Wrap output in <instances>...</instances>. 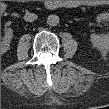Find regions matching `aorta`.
I'll return each instance as SVG.
<instances>
[{
  "instance_id": "1",
  "label": "aorta",
  "mask_w": 109,
  "mask_h": 109,
  "mask_svg": "<svg viewBox=\"0 0 109 109\" xmlns=\"http://www.w3.org/2000/svg\"><path fill=\"white\" fill-rule=\"evenodd\" d=\"M59 17L57 15L51 14L47 17V24L49 26H57L59 24Z\"/></svg>"
}]
</instances>
